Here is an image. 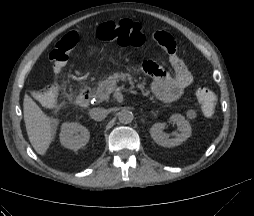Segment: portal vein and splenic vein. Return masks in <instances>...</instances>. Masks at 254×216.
<instances>
[{"label": "portal vein and splenic vein", "instance_id": "obj_1", "mask_svg": "<svg viewBox=\"0 0 254 216\" xmlns=\"http://www.w3.org/2000/svg\"><path fill=\"white\" fill-rule=\"evenodd\" d=\"M131 93H133V94H136V92L135 91H130Z\"/></svg>", "mask_w": 254, "mask_h": 216}]
</instances>
